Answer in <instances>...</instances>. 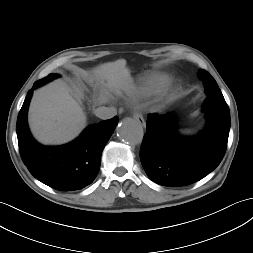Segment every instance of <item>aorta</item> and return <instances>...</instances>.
Masks as SVG:
<instances>
[{
  "instance_id": "obj_1",
  "label": "aorta",
  "mask_w": 253,
  "mask_h": 253,
  "mask_svg": "<svg viewBox=\"0 0 253 253\" xmlns=\"http://www.w3.org/2000/svg\"><path fill=\"white\" fill-rule=\"evenodd\" d=\"M117 134L120 139L131 145L141 143L143 139V127L138 120L126 118L117 127Z\"/></svg>"
}]
</instances>
